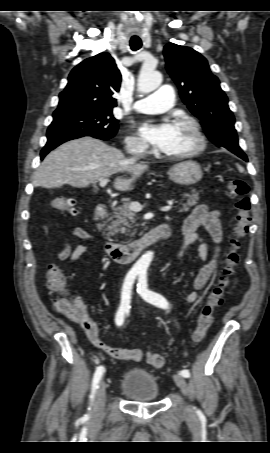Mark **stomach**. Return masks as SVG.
I'll return each mask as SVG.
<instances>
[{
    "label": "stomach",
    "instance_id": "obj_1",
    "mask_svg": "<svg viewBox=\"0 0 270 453\" xmlns=\"http://www.w3.org/2000/svg\"><path fill=\"white\" fill-rule=\"evenodd\" d=\"M169 178L176 184L190 186L202 179L200 165L192 160L175 164L168 170Z\"/></svg>",
    "mask_w": 270,
    "mask_h": 453
}]
</instances>
